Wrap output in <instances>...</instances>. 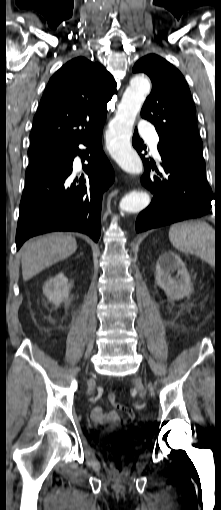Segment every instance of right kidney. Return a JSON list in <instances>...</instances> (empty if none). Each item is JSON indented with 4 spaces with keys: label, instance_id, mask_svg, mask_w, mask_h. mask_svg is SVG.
I'll use <instances>...</instances> for the list:
<instances>
[{
    "label": "right kidney",
    "instance_id": "right-kidney-1",
    "mask_svg": "<svg viewBox=\"0 0 221 510\" xmlns=\"http://www.w3.org/2000/svg\"><path fill=\"white\" fill-rule=\"evenodd\" d=\"M70 286L68 279L63 273L48 279L43 287V294L55 305H58L68 298Z\"/></svg>",
    "mask_w": 221,
    "mask_h": 510
}]
</instances>
